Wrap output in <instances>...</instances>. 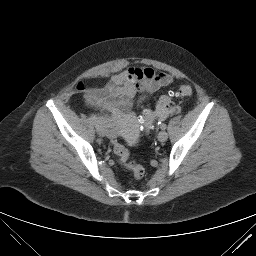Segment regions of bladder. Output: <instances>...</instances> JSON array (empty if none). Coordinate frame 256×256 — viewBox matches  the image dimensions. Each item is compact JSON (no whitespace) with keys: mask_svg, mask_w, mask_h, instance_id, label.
<instances>
[{"mask_svg":"<svg viewBox=\"0 0 256 256\" xmlns=\"http://www.w3.org/2000/svg\"><path fill=\"white\" fill-rule=\"evenodd\" d=\"M110 134L114 135L116 133V130L113 127L109 128Z\"/></svg>","mask_w":256,"mask_h":256,"instance_id":"31cf9c89","label":"bladder"}]
</instances>
